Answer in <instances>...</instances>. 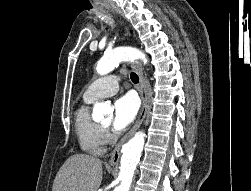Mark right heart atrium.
I'll list each match as a JSON object with an SVG mask.
<instances>
[{
	"label": "right heart atrium",
	"instance_id": "obj_1",
	"mask_svg": "<svg viewBox=\"0 0 251 191\" xmlns=\"http://www.w3.org/2000/svg\"><path fill=\"white\" fill-rule=\"evenodd\" d=\"M104 138L106 143H109L111 141V135L107 128H104Z\"/></svg>",
	"mask_w": 251,
	"mask_h": 191
}]
</instances>
